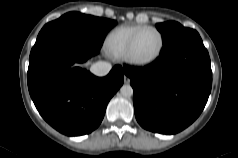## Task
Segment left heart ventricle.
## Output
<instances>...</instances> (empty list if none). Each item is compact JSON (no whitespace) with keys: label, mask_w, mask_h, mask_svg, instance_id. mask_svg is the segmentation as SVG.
<instances>
[{"label":"left heart ventricle","mask_w":238,"mask_h":158,"mask_svg":"<svg viewBox=\"0 0 238 158\" xmlns=\"http://www.w3.org/2000/svg\"><path fill=\"white\" fill-rule=\"evenodd\" d=\"M159 47V36L153 30L144 31L138 38L134 55L139 59L152 57Z\"/></svg>","instance_id":"left-heart-ventricle-1"}]
</instances>
